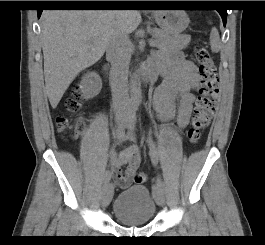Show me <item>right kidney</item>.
I'll list each match as a JSON object with an SVG mask.
<instances>
[{"label":"right kidney","instance_id":"right-kidney-1","mask_svg":"<svg viewBox=\"0 0 265 245\" xmlns=\"http://www.w3.org/2000/svg\"><path fill=\"white\" fill-rule=\"evenodd\" d=\"M102 88V81L96 72H87L80 82L82 96L86 99L98 95Z\"/></svg>","mask_w":265,"mask_h":245}]
</instances>
